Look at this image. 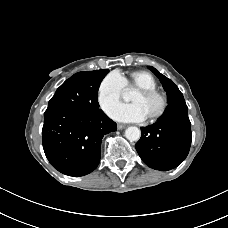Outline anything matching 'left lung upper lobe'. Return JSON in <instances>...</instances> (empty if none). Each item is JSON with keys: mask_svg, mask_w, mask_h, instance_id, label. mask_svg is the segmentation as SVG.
Returning a JSON list of instances; mask_svg holds the SVG:
<instances>
[{"mask_svg": "<svg viewBox=\"0 0 228 228\" xmlns=\"http://www.w3.org/2000/svg\"><path fill=\"white\" fill-rule=\"evenodd\" d=\"M161 81L165 91L167 92V102L168 104L177 98H182L183 94L180 92L178 87L166 76L161 74L154 67H148Z\"/></svg>", "mask_w": 228, "mask_h": 228, "instance_id": "5c2ea615", "label": "left lung upper lobe"}]
</instances>
